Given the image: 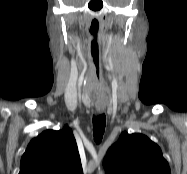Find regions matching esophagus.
<instances>
[{
  "mask_svg": "<svg viewBox=\"0 0 187 174\" xmlns=\"http://www.w3.org/2000/svg\"><path fill=\"white\" fill-rule=\"evenodd\" d=\"M97 112H98V113H102V112H103V109H102V108H97Z\"/></svg>",
  "mask_w": 187,
  "mask_h": 174,
  "instance_id": "34e87169",
  "label": "esophagus"
}]
</instances>
